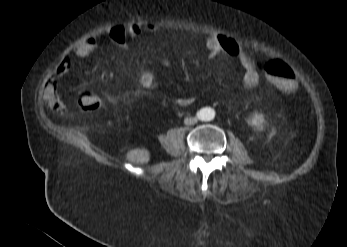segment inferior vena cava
<instances>
[{
	"mask_svg": "<svg viewBox=\"0 0 347 247\" xmlns=\"http://www.w3.org/2000/svg\"><path fill=\"white\" fill-rule=\"evenodd\" d=\"M186 121H188V124H195L197 122V119L194 117H190L188 119H186Z\"/></svg>",
	"mask_w": 347,
	"mask_h": 247,
	"instance_id": "inferior-vena-cava-1",
	"label": "inferior vena cava"
}]
</instances>
